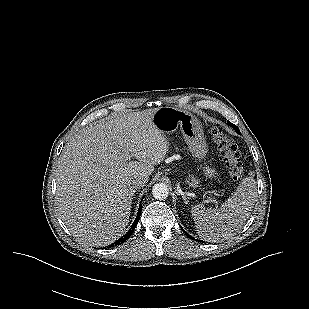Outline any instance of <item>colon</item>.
Wrapping results in <instances>:
<instances>
[{
    "label": "colon",
    "mask_w": 309,
    "mask_h": 309,
    "mask_svg": "<svg viewBox=\"0 0 309 309\" xmlns=\"http://www.w3.org/2000/svg\"><path fill=\"white\" fill-rule=\"evenodd\" d=\"M211 136L213 142L224 157L230 177L233 180L240 179L244 169L236 145L219 128L213 127L211 129Z\"/></svg>",
    "instance_id": "5ec220e1"
}]
</instances>
